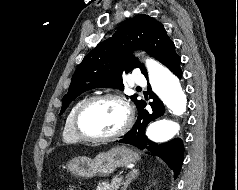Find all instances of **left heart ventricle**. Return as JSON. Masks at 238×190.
Returning a JSON list of instances; mask_svg holds the SVG:
<instances>
[{
  "instance_id": "left-heart-ventricle-1",
  "label": "left heart ventricle",
  "mask_w": 238,
  "mask_h": 190,
  "mask_svg": "<svg viewBox=\"0 0 238 190\" xmlns=\"http://www.w3.org/2000/svg\"><path fill=\"white\" fill-rule=\"evenodd\" d=\"M126 114L122 105L115 100L93 103L81 117L82 130L90 135L104 136L116 132L125 122Z\"/></svg>"
}]
</instances>
